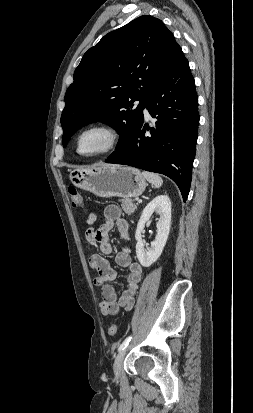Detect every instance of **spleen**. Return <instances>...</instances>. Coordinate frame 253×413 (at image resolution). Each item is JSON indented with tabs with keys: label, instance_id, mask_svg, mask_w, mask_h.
Listing matches in <instances>:
<instances>
[{
	"label": "spleen",
	"instance_id": "obj_1",
	"mask_svg": "<svg viewBox=\"0 0 253 413\" xmlns=\"http://www.w3.org/2000/svg\"><path fill=\"white\" fill-rule=\"evenodd\" d=\"M142 175L145 177V179L148 180V182H150L155 188H160L163 184V180L162 178L155 173L152 172H147V171H143Z\"/></svg>",
	"mask_w": 253,
	"mask_h": 413
}]
</instances>
